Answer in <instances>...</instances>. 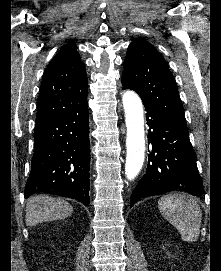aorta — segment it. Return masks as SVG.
Masks as SVG:
<instances>
[{
  "label": "aorta",
  "mask_w": 221,
  "mask_h": 271,
  "mask_svg": "<svg viewBox=\"0 0 221 271\" xmlns=\"http://www.w3.org/2000/svg\"><path fill=\"white\" fill-rule=\"evenodd\" d=\"M122 103L127 127L125 175L133 180L142 169L145 159L143 104L133 91L123 94Z\"/></svg>",
  "instance_id": "1"
}]
</instances>
